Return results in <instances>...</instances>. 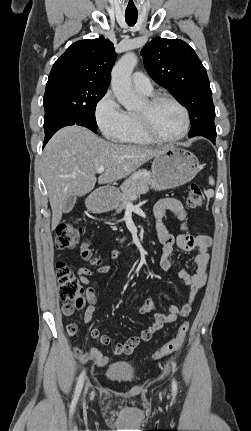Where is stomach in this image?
<instances>
[{
  "label": "stomach",
  "instance_id": "stomach-1",
  "mask_svg": "<svg viewBox=\"0 0 251 431\" xmlns=\"http://www.w3.org/2000/svg\"><path fill=\"white\" fill-rule=\"evenodd\" d=\"M200 165L195 155L185 149L169 146L155 156L151 179L155 190H166L184 185L199 172ZM119 191L116 188L101 189L86 200L87 208L94 213H103L118 206Z\"/></svg>",
  "mask_w": 251,
  "mask_h": 431
}]
</instances>
